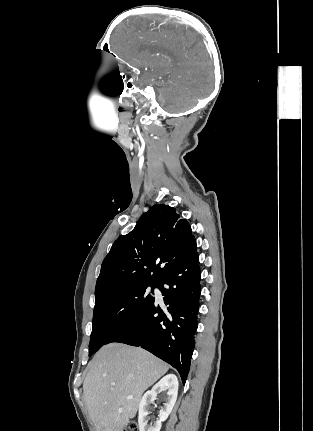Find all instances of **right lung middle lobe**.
<instances>
[{
    "label": "right lung middle lobe",
    "instance_id": "obj_1",
    "mask_svg": "<svg viewBox=\"0 0 313 431\" xmlns=\"http://www.w3.org/2000/svg\"><path fill=\"white\" fill-rule=\"evenodd\" d=\"M150 287L153 293L157 284L132 286L95 301L89 356L107 344L108 340L128 325L152 299Z\"/></svg>",
    "mask_w": 313,
    "mask_h": 431
}]
</instances>
